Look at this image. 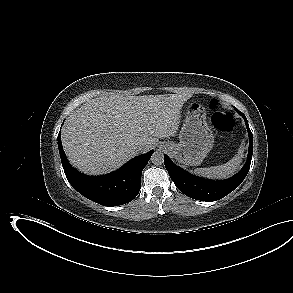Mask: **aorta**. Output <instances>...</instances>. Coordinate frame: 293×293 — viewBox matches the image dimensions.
<instances>
[{"label":"aorta","mask_w":293,"mask_h":293,"mask_svg":"<svg viewBox=\"0 0 293 293\" xmlns=\"http://www.w3.org/2000/svg\"><path fill=\"white\" fill-rule=\"evenodd\" d=\"M151 162L154 165H161L164 162V155L160 151H156L151 156Z\"/></svg>","instance_id":"obj_1"}]
</instances>
